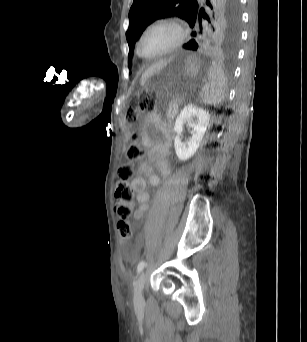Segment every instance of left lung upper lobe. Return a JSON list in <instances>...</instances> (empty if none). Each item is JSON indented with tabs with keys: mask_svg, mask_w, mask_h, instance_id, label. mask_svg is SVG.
I'll return each instance as SVG.
<instances>
[{
	"mask_svg": "<svg viewBox=\"0 0 307 342\" xmlns=\"http://www.w3.org/2000/svg\"><path fill=\"white\" fill-rule=\"evenodd\" d=\"M239 0H207L211 8L210 17L199 11L197 0H134L129 11V28L126 32L129 44V66L133 56L136 41L143 30L159 18L177 15L188 22L193 31L192 36L198 38L200 47H214L233 55L239 40L240 8ZM202 18L208 21L203 23ZM191 39L183 47L188 50H197L199 44Z\"/></svg>",
	"mask_w": 307,
	"mask_h": 342,
	"instance_id": "left-lung-upper-lobe-1",
	"label": "left lung upper lobe"
}]
</instances>
